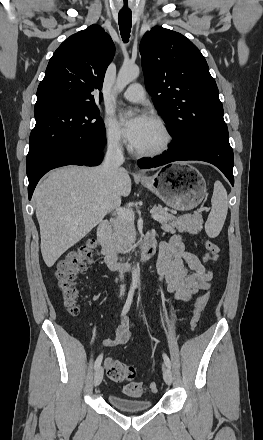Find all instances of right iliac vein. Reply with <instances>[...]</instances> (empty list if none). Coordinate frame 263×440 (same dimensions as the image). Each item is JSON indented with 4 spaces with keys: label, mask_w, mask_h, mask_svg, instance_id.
<instances>
[{
    "label": "right iliac vein",
    "mask_w": 263,
    "mask_h": 440,
    "mask_svg": "<svg viewBox=\"0 0 263 440\" xmlns=\"http://www.w3.org/2000/svg\"><path fill=\"white\" fill-rule=\"evenodd\" d=\"M103 379V369L99 366L94 374V385L99 386Z\"/></svg>",
    "instance_id": "right-iliac-vein-1"
}]
</instances>
